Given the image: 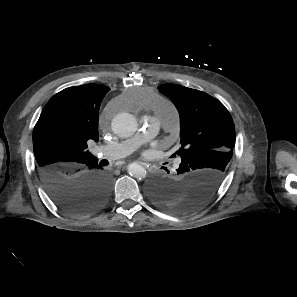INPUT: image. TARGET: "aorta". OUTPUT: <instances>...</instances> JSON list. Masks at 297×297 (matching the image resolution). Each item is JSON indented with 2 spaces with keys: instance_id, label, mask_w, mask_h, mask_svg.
Masks as SVG:
<instances>
[{
  "instance_id": "1",
  "label": "aorta",
  "mask_w": 297,
  "mask_h": 297,
  "mask_svg": "<svg viewBox=\"0 0 297 297\" xmlns=\"http://www.w3.org/2000/svg\"><path fill=\"white\" fill-rule=\"evenodd\" d=\"M111 127L116 135L127 138L136 132L137 121L130 113H119L113 118ZM128 172L132 177L138 180H143L146 177L145 168L137 163L130 164L128 166Z\"/></svg>"
}]
</instances>
